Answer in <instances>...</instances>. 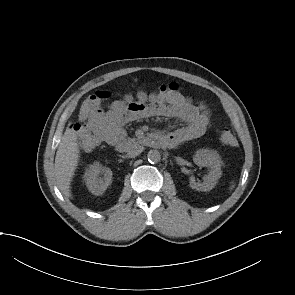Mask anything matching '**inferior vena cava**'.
Returning <instances> with one entry per match:
<instances>
[{
    "label": "inferior vena cava",
    "mask_w": 295,
    "mask_h": 295,
    "mask_svg": "<svg viewBox=\"0 0 295 295\" xmlns=\"http://www.w3.org/2000/svg\"><path fill=\"white\" fill-rule=\"evenodd\" d=\"M143 149L142 146L136 145L129 149L127 155L131 158L136 157L143 152Z\"/></svg>",
    "instance_id": "602c4592"
}]
</instances>
